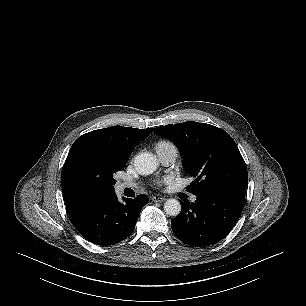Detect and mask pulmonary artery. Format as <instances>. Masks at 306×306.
I'll return each mask as SVG.
<instances>
[{
  "mask_svg": "<svg viewBox=\"0 0 306 306\" xmlns=\"http://www.w3.org/2000/svg\"><path fill=\"white\" fill-rule=\"evenodd\" d=\"M156 152L160 162L164 165L172 164L178 156V150L174 145H170L164 148H158L156 149ZM133 187H136L135 183L119 182L116 186V190L117 192H122L126 188H133ZM195 200H196L195 196L191 197V201Z\"/></svg>",
  "mask_w": 306,
  "mask_h": 306,
  "instance_id": "e3ab8cb5",
  "label": "pulmonary artery"
}]
</instances>
